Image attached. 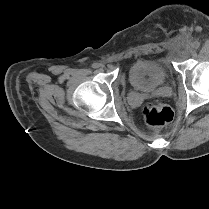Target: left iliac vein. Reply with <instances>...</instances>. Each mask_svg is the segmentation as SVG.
I'll return each mask as SVG.
<instances>
[{
  "label": "left iliac vein",
  "mask_w": 209,
  "mask_h": 209,
  "mask_svg": "<svg viewBox=\"0 0 209 209\" xmlns=\"http://www.w3.org/2000/svg\"><path fill=\"white\" fill-rule=\"evenodd\" d=\"M188 53H192V49L191 48L188 49Z\"/></svg>",
  "instance_id": "left-iliac-vein-1"
}]
</instances>
